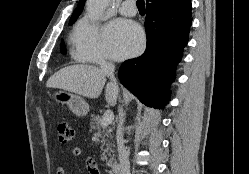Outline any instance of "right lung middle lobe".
<instances>
[{
	"mask_svg": "<svg viewBox=\"0 0 249 174\" xmlns=\"http://www.w3.org/2000/svg\"><path fill=\"white\" fill-rule=\"evenodd\" d=\"M73 23H74V21L73 22H69L70 25L73 24ZM62 46H63V41H62ZM62 53H65L64 47H62Z\"/></svg>",
	"mask_w": 249,
	"mask_h": 174,
	"instance_id": "dd1d6c3e",
	"label": "right lung middle lobe"
}]
</instances>
